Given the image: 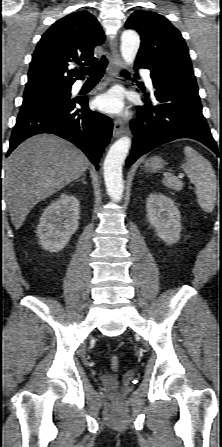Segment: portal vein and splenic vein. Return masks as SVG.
Wrapping results in <instances>:
<instances>
[{
    "label": "portal vein and splenic vein",
    "mask_w": 222,
    "mask_h": 447,
    "mask_svg": "<svg viewBox=\"0 0 222 447\" xmlns=\"http://www.w3.org/2000/svg\"><path fill=\"white\" fill-rule=\"evenodd\" d=\"M179 178H183V175L181 174V175H179Z\"/></svg>",
    "instance_id": "portal-vein-and-splenic-vein-1"
}]
</instances>
